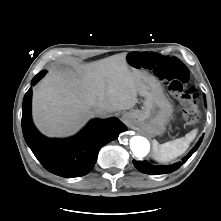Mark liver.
<instances>
[{
	"instance_id": "6515ba94",
	"label": "liver",
	"mask_w": 221,
	"mask_h": 221,
	"mask_svg": "<svg viewBox=\"0 0 221 221\" xmlns=\"http://www.w3.org/2000/svg\"><path fill=\"white\" fill-rule=\"evenodd\" d=\"M126 53L85 64L81 77L51 72L36 86L32 99L33 120L46 136L76 133L95 115L132 109L138 102L142 73L133 71Z\"/></svg>"
}]
</instances>
